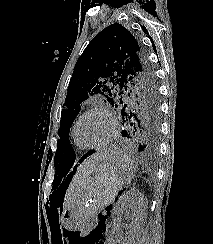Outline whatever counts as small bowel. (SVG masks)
Here are the masks:
<instances>
[{"mask_svg":"<svg viewBox=\"0 0 213 244\" xmlns=\"http://www.w3.org/2000/svg\"><path fill=\"white\" fill-rule=\"evenodd\" d=\"M99 244H104V243L102 241H100Z\"/></svg>","mask_w":213,"mask_h":244,"instance_id":"1","label":"small bowel"}]
</instances>
